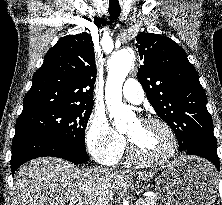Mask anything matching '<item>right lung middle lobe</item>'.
<instances>
[{
  "label": "right lung middle lobe",
  "instance_id": "1",
  "mask_svg": "<svg viewBox=\"0 0 222 205\" xmlns=\"http://www.w3.org/2000/svg\"><path fill=\"white\" fill-rule=\"evenodd\" d=\"M93 106H49L21 113L15 134L40 133L85 148V128Z\"/></svg>",
  "mask_w": 222,
  "mask_h": 205
}]
</instances>
